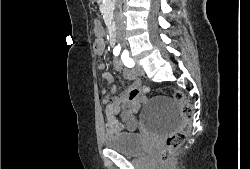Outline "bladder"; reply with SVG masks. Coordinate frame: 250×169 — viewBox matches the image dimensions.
<instances>
[{"label": "bladder", "mask_w": 250, "mask_h": 169, "mask_svg": "<svg viewBox=\"0 0 250 169\" xmlns=\"http://www.w3.org/2000/svg\"><path fill=\"white\" fill-rule=\"evenodd\" d=\"M140 136L137 133H111L104 138V143L109 151L138 156L149 148V145H143Z\"/></svg>", "instance_id": "1"}]
</instances>
